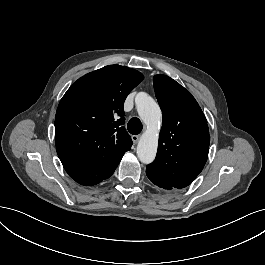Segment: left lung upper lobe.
Masks as SVG:
<instances>
[{"label": "left lung upper lobe", "mask_w": 265, "mask_h": 265, "mask_svg": "<svg viewBox=\"0 0 265 265\" xmlns=\"http://www.w3.org/2000/svg\"><path fill=\"white\" fill-rule=\"evenodd\" d=\"M155 95L162 110V129L157 156L146 174L165 185L182 189L204 168L210 135L207 120L195 98L166 75L153 78Z\"/></svg>", "instance_id": "obj_1"}]
</instances>
